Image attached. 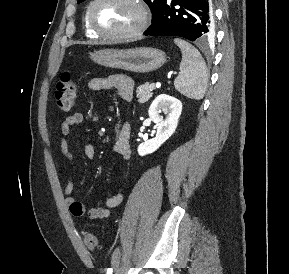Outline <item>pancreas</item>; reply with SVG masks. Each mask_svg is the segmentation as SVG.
<instances>
[{
  "label": "pancreas",
  "mask_w": 289,
  "mask_h": 274,
  "mask_svg": "<svg viewBox=\"0 0 289 274\" xmlns=\"http://www.w3.org/2000/svg\"><path fill=\"white\" fill-rule=\"evenodd\" d=\"M152 87H151V84L149 83H145L144 85H140L138 88H137V98H138V101L140 103H145L147 102L150 97H152Z\"/></svg>",
  "instance_id": "obj_1"
}]
</instances>
